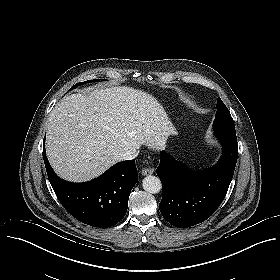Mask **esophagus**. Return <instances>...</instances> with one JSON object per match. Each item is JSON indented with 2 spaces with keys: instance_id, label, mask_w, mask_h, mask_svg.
Listing matches in <instances>:
<instances>
[{
  "instance_id": "34e87169",
  "label": "esophagus",
  "mask_w": 280,
  "mask_h": 280,
  "mask_svg": "<svg viewBox=\"0 0 280 280\" xmlns=\"http://www.w3.org/2000/svg\"><path fill=\"white\" fill-rule=\"evenodd\" d=\"M154 173V168H151V167H148V168H144L142 171H141V174L143 176H149V175H152Z\"/></svg>"
}]
</instances>
